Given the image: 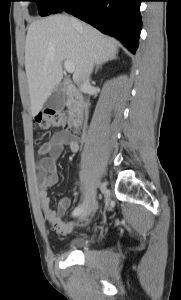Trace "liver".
Returning <instances> with one entry per match:
<instances>
[{
    "label": "liver",
    "instance_id": "1",
    "mask_svg": "<svg viewBox=\"0 0 181 300\" xmlns=\"http://www.w3.org/2000/svg\"><path fill=\"white\" fill-rule=\"evenodd\" d=\"M116 42L94 27L66 15H52L31 23L25 42V70L32 115L36 116L63 77V60L73 63V81L78 83L86 61L92 64L113 59ZM68 90L71 82H66Z\"/></svg>",
    "mask_w": 181,
    "mask_h": 300
}]
</instances>
